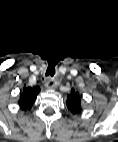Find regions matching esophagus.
Wrapping results in <instances>:
<instances>
[{"label":"esophagus","mask_w":118,"mask_h":142,"mask_svg":"<svg viewBox=\"0 0 118 142\" xmlns=\"http://www.w3.org/2000/svg\"><path fill=\"white\" fill-rule=\"evenodd\" d=\"M57 86L56 82L53 81L52 79H48L45 83V87L47 89H54Z\"/></svg>","instance_id":"esophagus-1"}]
</instances>
